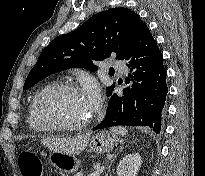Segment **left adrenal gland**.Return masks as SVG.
Listing matches in <instances>:
<instances>
[{
	"label": "left adrenal gland",
	"mask_w": 205,
	"mask_h": 176,
	"mask_svg": "<svg viewBox=\"0 0 205 176\" xmlns=\"http://www.w3.org/2000/svg\"><path fill=\"white\" fill-rule=\"evenodd\" d=\"M123 149H124V148H123L122 146L119 148V151L117 152V154H116V155L114 156V158L112 159V161H111V163H110V165H109V167H108V170H107V173L105 174V176H108V175H109L110 169H111V166H112L114 160L116 159V157L118 156V154H119Z\"/></svg>",
	"instance_id": "1"
}]
</instances>
